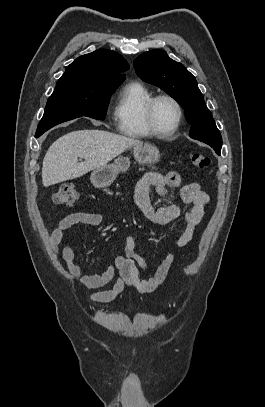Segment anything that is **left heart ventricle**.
<instances>
[{
    "mask_svg": "<svg viewBox=\"0 0 265 407\" xmlns=\"http://www.w3.org/2000/svg\"><path fill=\"white\" fill-rule=\"evenodd\" d=\"M177 120V109L169 100L158 102L155 110V121L159 129L166 131L171 129Z\"/></svg>",
    "mask_w": 265,
    "mask_h": 407,
    "instance_id": "1",
    "label": "left heart ventricle"
}]
</instances>
